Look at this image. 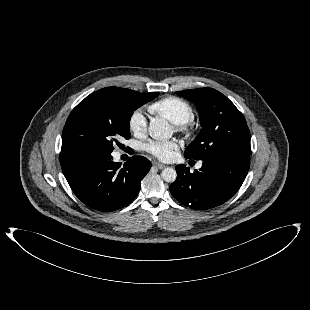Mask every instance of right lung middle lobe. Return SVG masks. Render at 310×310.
I'll use <instances>...</instances> for the list:
<instances>
[{"instance_id": "1", "label": "right lung middle lobe", "mask_w": 310, "mask_h": 310, "mask_svg": "<svg viewBox=\"0 0 310 310\" xmlns=\"http://www.w3.org/2000/svg\"><path fill=\"white\" fill-rule=\"evenodd\" d=\"M122 93L110 87L83 99L71 112L62 132V150L102 148L113 151L122 137L130 138V119L137 108L157 97Z\"/></svg>"}]
</instances>
